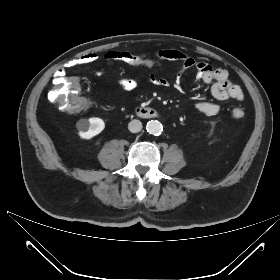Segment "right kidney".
<instances>
[{"label":"right kidney","mask_w":280,"mask_h":280,"mask_svg":"<svg viewBox=\"0 0 280 280\" xmlns=\"http://www.w3.org/2000/svg\"><path fill=\"white\" fill-rule=\"evenodd\" d=\"M77 128L79 130L78 134L82 139H91L103 131L105 123L101 118L92 117L88 120H79Z\"/></svg>","instance_id":"obj_1"}]
</instances>
